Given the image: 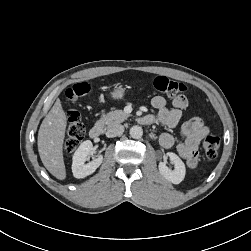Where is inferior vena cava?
Returning a JSON list of instances; mask_svg holds the SVG:
<instances>
[{
  "label": "inferior vena cava",
  "mask_w": 251,
  "mask_h": 251,
  "mask_svg": "<svg viewBox=\"0 0 251 251\" xmlns=\"http://www.w3.org/2000/svg\"><path fill=\"white\" fill-rule=\"evenodd\" d=\"M124 132V126L123 125H115L107 130L106 136L109 138L116 137L122 135Z\"/></svg>",
  "instance_id": "obj_1"
}]
</instances>
